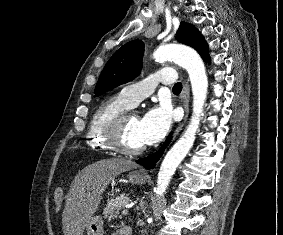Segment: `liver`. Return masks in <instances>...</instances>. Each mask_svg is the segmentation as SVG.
Listing matches in <instances>:
<instances>
[{"label": "liver", "mask_w": 283, "mask_h": 235, "mask_svg": "<svg viewBox=\"0 0 283 235\" xmlns=\"http://www.w3.org/2000/svg\"><path fill=\"white\" fill-rule=\"evenodd\" d=\"M137 164L123 158L100 160L86 166L74 178L62 214L65 235H82L110 182Z\"/></svg>", "instance_id": "liver-1"}]
</instances>
